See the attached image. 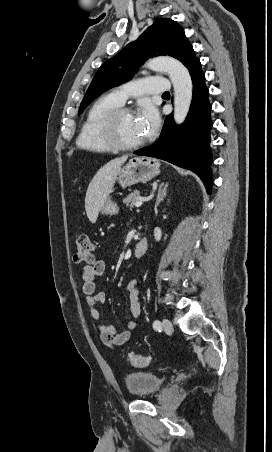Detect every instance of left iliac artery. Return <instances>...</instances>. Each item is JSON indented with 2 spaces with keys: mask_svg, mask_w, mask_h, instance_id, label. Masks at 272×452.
Listing matches in <instances>:
<instances>
[{
  "mask_svg": "<svg viewBox=\"0 0 272 452\" xmlns=\"http://www.w3.org/2000/svg\"><path fill=\"white\" fill-rule=\"evenodd\" d=\"M153 328H154L155 330L160 331V330H161V322H160L159 320H155V321L153 322Z\"/></svg>",
  "mask_w": 272,
  "mask_h": 452,
  "instance_id": "left-iliac-artery-1",
  "label": "left iliac artery"
}]
</instances>
